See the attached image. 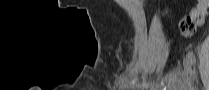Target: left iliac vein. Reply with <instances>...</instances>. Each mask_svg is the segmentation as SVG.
<instances>
[{
  "instance_id": "4c4485c4",
  "label": "left iliac vein",
  "mask_w": 209,
  "mask_h": 90,
  "mask_svg": "<svg viewBox=\"0 0 209 90\" xmlns=\"http://www.w3.org/2000/svg\"><path fill=\"white\" fill-rule=\"evenodd\" d=\"M184 68H185V70H186L190 75L193 74V73H192V69H191V65H190L189 60H186V61L184 62Z\"/></svg>"
}]
</instances>
